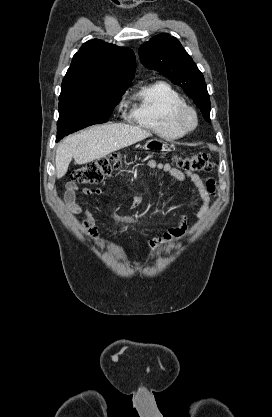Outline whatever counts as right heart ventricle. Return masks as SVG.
<instances>
[{"label": "right heart ventricle", "mask_w": 272, "mask_h": 417, "mask_svg": "<svg viewBox=\"0 0 272 417\" xmlns=\"http://www.w3.org/2000/svg\"><path fill=\"white\" fill-rule=\"evenodd\" d=\"M129 120L165 139L183 136L172 121L174 110L186 104L182 95L165 81H156L140 87L135 93Z\"/></svg>", "instance_id": "1"}]
</instances>
